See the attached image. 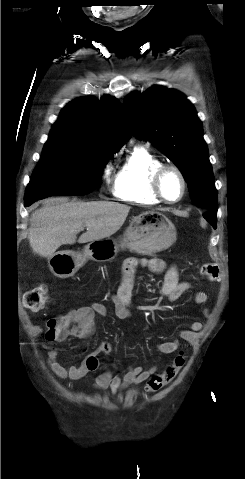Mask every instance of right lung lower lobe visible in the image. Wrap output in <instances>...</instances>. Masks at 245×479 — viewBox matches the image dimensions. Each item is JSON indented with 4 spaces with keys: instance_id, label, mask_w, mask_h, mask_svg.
Segmentation results:
<instances>
[{
    "instance_id": "obj_1",
    "label": "right lung lower lobe",
    "mask_w": 245,
    "mask_h": 479,
    "mask_svg": "<svg viewBox=\"0 0 245 479\" xmlns=\"http://www.w3.org/2000/svg\"><path fill=\"white\" fill-rule=\"evenodd\" d=\"M36 200H29V201H25V206H30L32 203H34Z\"/></svg>"
}]
</instances>
